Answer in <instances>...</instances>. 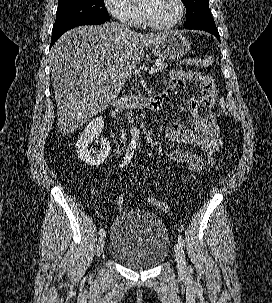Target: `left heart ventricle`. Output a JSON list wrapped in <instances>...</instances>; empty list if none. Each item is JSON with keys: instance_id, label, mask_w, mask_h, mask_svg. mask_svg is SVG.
Masks as SVG:
<instances>
[{"instance_id": "left-heart-ventricle-1", "label": "left heart ventricle", "mask_w": 272, "mask_h": 303, "mask_svg": "<svg viewBox=\"0 0 272 303\" xmlns=\"http://www.w3.org/2000/svg\"><path fill=\"white\" fill-rule=\"evenodd\" d=\"M148 18L155 24L171 23L178 15L179 7L176 0H139Z\"/></svg>"}]
</instances>
